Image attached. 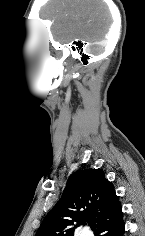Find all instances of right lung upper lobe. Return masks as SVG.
Wrapping results in <instances>:
<instances>
[{
  "instance_id": "right-lung-upper-lobe-1",
  "label": "right lung upper lobe",
  "mask_w": 145,
  "mask_h": 236,
  "mask_svg": "<svg viewBox=\"0 0 145 236\" xmlns=\"http://www.w3.org/2000/svg\"><path fill=\"white\" fill-rule=\"evenodd\" d=\"M120 207L114 186L102 169L79 170L70 176L61 199L35 236H73L86 220L94 231Z\"/></svg>"
}]
</instances>
